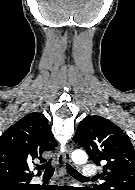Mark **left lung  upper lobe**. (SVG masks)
I'll return each mask as SVG.
<instances>
[{
	"instance_id": "1",
	"label": "left lung upper lobe",
	"mask_w": 135,
	"mask_h": 190,
	"mask_svg": "<svg viewBox=\"0 0 135 190\" xmlns=\"http://www.w3.org/2000/svg\"><path fill=\"white\" fill-rule=\"evenodd\" d=\"M74 141L95 164L106 161L99 175L105 182L94 190H135V149L121 128L101 116H88L80 122Z\"/></svg>"
}]
</instances>
